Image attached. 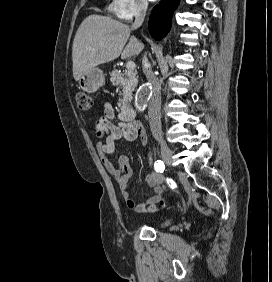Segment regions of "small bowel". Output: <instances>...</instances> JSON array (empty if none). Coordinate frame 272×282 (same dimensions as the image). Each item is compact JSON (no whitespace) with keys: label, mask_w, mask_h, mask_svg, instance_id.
I'll return each mask as SVG.
<instances>
[{"label":"small bowel","mask_w":272,"mask_h":282,"mask_svg":"<svg viewBox=\"0 0 272 282\" xmlns=\"http://www.w3.org/2000/svg\"><path fill=\"white\" fill-rule=\"evenodd\" d=\"M116 115L110 104H105L103 115L94 123L95 136L98 138L97 152L107 171L117 181L123 200L127 207L134 212L144 211L146 206L155 205L160 200V195L165 190L162 185V176L157 173H149L145 176V182L153 189L154 194L144 201H136L131 196L132 185L130 179L133 171L126 155H120L115 164L108 155L114 151L115 142L121 138L128 141L140 140L142 147L147 145V134L138 121H116ZM148 164H152L151 155H148Z\"/></svg>","instance_id":"small-bowel-1"}]
</instances>
